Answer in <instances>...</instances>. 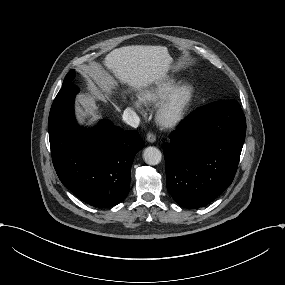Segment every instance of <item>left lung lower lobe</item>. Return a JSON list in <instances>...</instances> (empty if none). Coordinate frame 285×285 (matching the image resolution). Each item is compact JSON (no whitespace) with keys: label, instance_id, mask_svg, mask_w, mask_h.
<instances>
[{"label":"left lung lower lobe","instance_id":"1","mask_svg":"<svg viewBox=\"0 0 285 285\" xmlns=\"http://www.w3.org/2000/svg\"><path fill=\"white\" fill-rule=\"evenodd\" d=\"M246 134L235 100L216 101L185 118L163 145L167 189L184 208L203 207L233 181Z\"/></svg>","mask_w":285,"mask_h":285}]
</instances>
